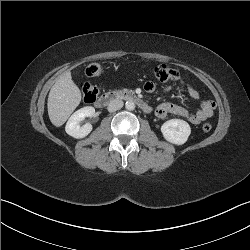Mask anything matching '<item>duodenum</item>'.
I'll return each instance as SVG.
<instances>
[{"label": "duodenum", "instance_id": "duodenum-1", "mask_svg": "<svg viewBox=\"0 0 250 250\" xmlns=\"http://www.w3.org/2000/svg\"><path fill=\"white\" fill-rule=\"evenodd\" d=\"M119 99L133 102L145 112L151 111V107L139 95L130 90H117L106 92L96 100L95 105L98 108H103L110 104L112 101Z\"/></svg>", "mask_w": 250, "mask_h": 250}]
</instances>
